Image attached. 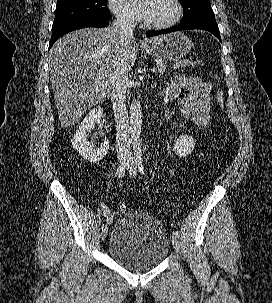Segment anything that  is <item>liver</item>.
I'll return each mask as SVG.
<instances>
[{
  "label": "liver",
  "mask_w": 272,
  "mask_h": 303,
  "mask_svg": "<svg viewBox=\"0 0 272 303\" xmlns=\"http://www.w3.org/2000/svg\"><path fill=\"white\" fill-rule=\"evenodd\" d=\"M164 36L145 40L155 43ZM120 48L119 35L112 26L79 29L53 45L49 52L50 80L62 127L74 125L88 109L110 97L120 51L127 70L134 66L138 53L135 39Z\"/></svg>",
  "instance_id": "obj_1"
}]
</instances>
